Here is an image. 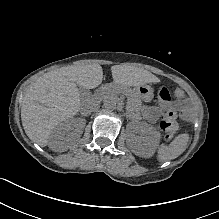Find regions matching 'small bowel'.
Masks as SVG:
<instances>
[{
    "label": "small bowel",
    "instance_id": "c3829d8e",
    "mask_svg": "<svg viewBox=\"0 0 219 219\" xmlns=\"http://www.w3.org/2000/svg\"><path fill=\"white\" fill-rule=\"evenodd\" d=\"M159 106H147L144 108V117L150 121L155 122L162 111L178 110L184 119L190 120L195 114L194 106L186 99L182 98L174 101L170 92L165 87H160L157 91Z\"/></svg>",
    "mask_w": 219,
    "mask_h": 219
}]
</instances>
